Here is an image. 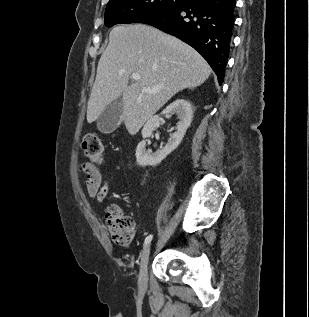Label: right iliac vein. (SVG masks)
<instances>
[{"mask_svg": "<svg viewBox=\"0 0 309 317\" xmlns=\"http://www.w3.org/2000/svg\"><path fill=\"white\" fill-rule=\"evenodd\" d=\"M151 245H147L141 255L138 284L140 289L147 287V265L149 261Z\"/></svg>", "mask_w": 309, "mask_h": 317, "instance_id": "right-iliac-vein-1", "label": "right iliac vein"}]
</instances>
